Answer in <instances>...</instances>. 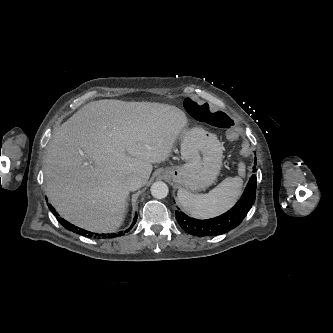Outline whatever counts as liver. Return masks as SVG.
<instances>
[{
  "label": "liver",
  "instance_id": "1",
  "mask_svg": "<svg viewBox=\"0 0 333 333\" xmlns=\"http://www.w3.org/2000/svg\"><path fill=\"white\" fill-rule=\"evenodd\" d=\"M175 106L104 99L78 110L54 133L44 161L46 194L80 228L114 232L125 216L130 176L145 185L187 126ZM87 161L89 163L86 164Z\"/></svg>",
  "mask_w": 333,
  "mask_h": 333
}]
</instances>
